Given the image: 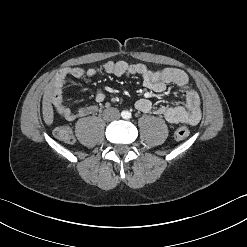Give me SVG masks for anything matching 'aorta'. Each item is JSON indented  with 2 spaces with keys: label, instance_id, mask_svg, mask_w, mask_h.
I'll list each match as a JSON object with an SVG mask.
<instances>
[{
  "label": "aorta",
  "instance_id": "1",
  "mask_svg": "<svg viewBox=\"0 0 247 247\" xmlns=\"http://www.w3.org/2000/svg\"><path fill=\"white\" fill-rule=\"evenodd\" d=\"M126 114H129L128 112H124L123 113V118H128V116Z\"/></svg>",
  "mask_w": 247,
  "mask_h": 247
}]
</instances>
